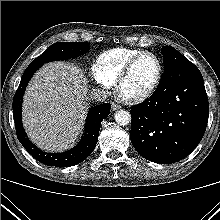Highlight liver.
<instances>
[{
	"label": "liver",
	"instance_id": "liver-1",
	"mask_svg": "<svg viewBox=\"0 0 220 220\" xmlns=\"http://www.w3.org/2000/svg\"><path fill=\"white\" fill-rule=\"evenodd\" d=\"M88 81L82 70L51 62L31 79L23 99L25 131L40 149L59 152L80 134L86 114Z\"/></svg>",
	"mask_w": 220,
	"mask_h": 220
}]
</instances>
